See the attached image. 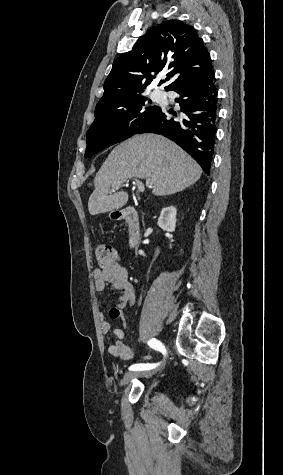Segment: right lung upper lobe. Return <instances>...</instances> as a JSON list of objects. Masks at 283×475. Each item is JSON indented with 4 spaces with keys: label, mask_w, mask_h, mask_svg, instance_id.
Listing matches in <instances>:
<instances>
[{
    "label": "right lung upper lobe",
    "mask_w": 283,
    "mask_h": 475,
    "mask_svg": "<svg viewBox=\"0 0 283 475\" xmlns=\"http://www.w3.org/2000/svg\"><path fill=\"white\" fill-rule=\"evenodd\" d=\"M211 69L209 52L196 30L181 21L169 20L149 30L131 51L114 60L96 108L142 95L156 74L168 72L165 90L169 91L179 82Z\"/></svg>",
    "instance_id": "1"
}]
</instances>
